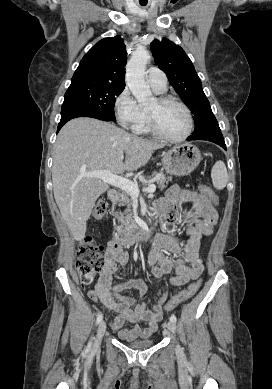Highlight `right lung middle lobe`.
<instances>
[{
    "label": "right lung middle lobe",
    "mask_w": 272,
    "mask_h": 389,
    "mask_svg": "<svg viewBox=\"0 0 272 389\" xmlns=\"http://www.w3.org/2000/svg\"><path fill=\"white\" fill-rule=\"evenodd\" d=\"M124 87L104 83H73L67 89L62 109L86 108L115 120L114 105Z\"/></svg>",
    "instance_id": "right-lung-middle-lobe-1"
}]
</instances>
